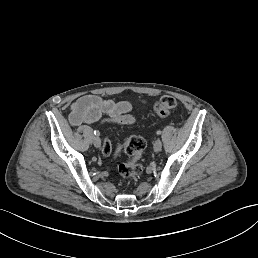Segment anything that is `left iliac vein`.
<instances>
[{"instance_id": "obj_1", "label": "left iliac vein", "mask_w": 258, "mask_h": 258, "mask_svg": "<svg viewBox=\"0 0 258 258\" xmlns=\"http://www.w3.org/2000/svg\"><path fill=\"white\" fill-rule=\"evenodd\" d=\"M153 146H154V149L157 152H160L163 149L162 140L161 139H156L155 142L153 143Z\"/></svg>"}]
</instances>
